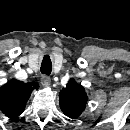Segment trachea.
Masks as SVG:
<instances>
[{"label": "trachea", "mask_w": 130, "mask_h": 130, "mask_svg": "<svg viewBox=\"0 0 130 130\" xmlns=\"http://www.w3.org/2000/svg\"><path fill=\"white\" fill-rule=\"evenodd\" d=\"M40 70H41L42 74H45L47 76H49L51 74L52 63H51L49 56H44Z\"/></svg>", "instance_id": "1"}]
</instances>
